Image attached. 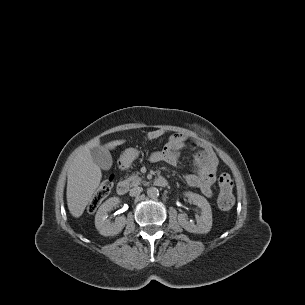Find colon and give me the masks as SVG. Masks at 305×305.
Masks as SVG:
<instances>
[{
    "instance_id": "obj_1",
    "label": "colon",
    "mask_w": 305,
    "mask_h": 305,
    "mask_svg": "<svg viewBox=\"0 0 305 305\" xmlns=\"http://www.w3.org/2000/svg\"><path fill=\"white\" fill-rule=\"evenodd\" d=\"M165 131L163 129H156L148 133L149 140H155L160 138ZM114 184V177L109 176L105 178L98 189L93 194L89 204L88 211L94 212L99 205L109 196ZM232 178L228 173L220 174L218 178L219 194L217 198V205L222 211H229L234 205V196L232 193Z\"/></svg>"
}]
</instances>
